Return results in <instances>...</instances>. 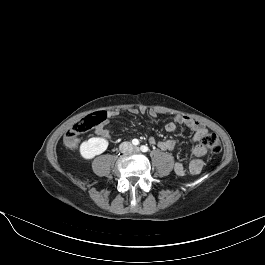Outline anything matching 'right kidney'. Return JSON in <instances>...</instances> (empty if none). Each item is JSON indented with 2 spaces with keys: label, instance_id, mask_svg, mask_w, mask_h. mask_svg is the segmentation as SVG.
I'll return each instance as SVG.
<instances>
[{
  "label": "right kidney",
  "instance_id": "ca27d5eb",
  "mask_svg": "<svg viewBox=\"0 0 265 265\" xmlns=\"http://www.w3.org/2000/svg\"><path fill=\"white\" fill-rule=\"evenodd\" d=\"M108 145L109 142L106 139L93 137L81 143L79 152L84 159H92L96 155L102 154L107 149Z\"/></svg>",
  "mask_w": 265,
  "mask_h": 265
}]
</instances>
